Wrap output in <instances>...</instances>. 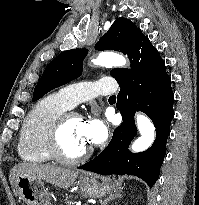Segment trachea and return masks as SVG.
<instances>
[{"mask_svg": "<svg viewBox=\"0 0 199 205\" xmlns=\"http://www.w3.org/2000/svg\"><path fill=\"white\" fill-rule=\"evenodd\" d=\"M110 98H116V96L113 95V96H110Z\"/></svg>", "mask_w": 199, "mask_h": 205, "instance_id": "trachea-1", "label": "trachea"}]
</instances>
